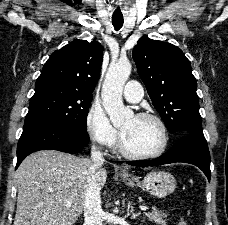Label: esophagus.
<instances>
[{"instance_id": "esophagus-1", "label": "esophagus", "mask_w": 228, "mask_h": 225, "mask_svg": "<svg viewBox=\"0 0 228 225\" xmlns=\"http://www.w3.org/2000/svg\"><path fill=\"white\" fill-rule=\"evenodd\" d=\"M119 174L121 177H126L129 174V170L126 167H120Z\"/></svg>"}]
</instances>
